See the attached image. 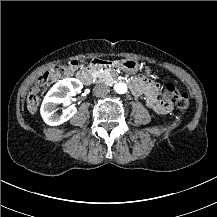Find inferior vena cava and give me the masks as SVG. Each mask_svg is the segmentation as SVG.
I'll return each mask as SVG.
<instances>
[{"label":"inferior vena cava","instance_id":"obj_1","mask_svg":"<svg viewBox=\"0 0 217 217\" xmlns=\"http://www.w3.org/2000/svg\"><path fill=\"white\" fill-rule=\"evenodd\" d=\"M109 92H110V88L106 84H98L94 87V94L96 96L106 95Z\"/></svg>","mask_w":217,"mask_h":217}]
</instances>
